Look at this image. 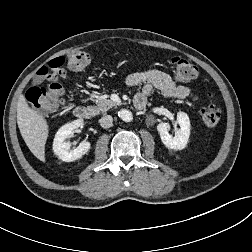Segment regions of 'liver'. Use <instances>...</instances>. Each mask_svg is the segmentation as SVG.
Wrapping results in <instances>:
<instances>
[{"label": "liver", "mask_w": 252, "mask_h": 252, "mask_svg": "<svg viewBox=\"0 0 252 252\" xmlns=\"http://www.w3.org/2000/svg\"><path fill=\"white\" fill-rule=\"evenodd\" d=\"M17 124L29 150L37 159L44 162L48 124L37 111L28 106L23 95L19 97L17 103Z\"/></svg>", "instance_id": "obj_1"}]
</instances>
